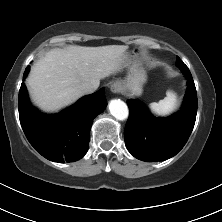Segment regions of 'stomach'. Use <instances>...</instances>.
<instances>
[{"label":"stomach","instance_id":"stomach-1","mask_svg":"<svg viewBox=\"0 0 222 222\" xmlns=\"http://www.w3.org/2000/svg\"><path fill=\"white\" fill-rule=\"evenodd\" d=\"M146 72L138 63L132 62L129 72L125 80L117 81L121 85L122 90L129 91L133 95L142 93V86L146 82Z\"/></svg>","mask_w":222,"mask_h":222}]
</instances>
